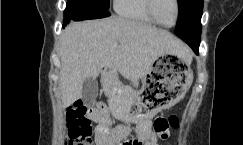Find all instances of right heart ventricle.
<instances>
[{
	"label": "right heart ventricle",
	"instance_id": "1",
	"mask_svg": "<svg viewBox=\"0 0 243 145\" xmlns=\"http://www.w3.org/2000/svg\"><path fill=\"white\" fill-rule=\"evenodd\" d=\"M118 15L146 25H155L147 11V0H114Z\"/></svg>",
	"mask_w": 243,
	"mask_h": 145
}]
</instances>
